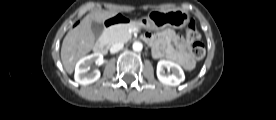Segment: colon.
I'll use <instances>...</instances> for the list:
<instances>
[{"label":"colon","mask_w":276,"mask_h":120,"mask_svg":"<svg viewBox=\"0 0 276 120\" xmlns=\"http://www.w3.org/2000/svg\"><path fill=\"white\" fill-rule=\"evenodd\" d=\"M125 15L121 12H114L113 14H108L105 17V20L111 17H114L115 15ZM130 16V15H127ZM131 17V16H130ZM86 20L85 18H80V20L78 22H76V24H70V29H75V27H81V25L85 24ZM76 25V26H75ZM115 26L111 27L114 28ZM110 28V29H111ZM185 37L187 39V41H189L192 46H191V54L192 56L196 59V60H201L204 58L205 53H206V49H205V45L200 41L199 39V32L196 29V26L194 24V22L190 21L187 25V28L185 30Z\"/></svg>","instance_id":"colon-1"}]
</instances>
